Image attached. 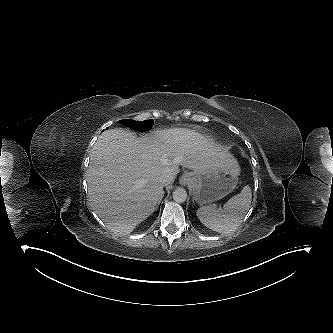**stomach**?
Returning <instances> with one entry per match:
<instances>
[{"label": "stomach", "instance_id": "1", "mask_svg": "<svg viewBox=\"0 0 333 333\" xmlns=\"http://www.w3.org/2000/svg\"><path fill=\"white\" fill-rule=\"evenodd\" d=\"M240 170L237 163L231 167H215L202 172H190L188 183L193 199L200 205L224 198L237 185Z\"/></svg>", "mask_w": 333, "mask_h": 333}]
</instances>
